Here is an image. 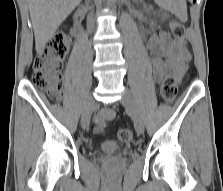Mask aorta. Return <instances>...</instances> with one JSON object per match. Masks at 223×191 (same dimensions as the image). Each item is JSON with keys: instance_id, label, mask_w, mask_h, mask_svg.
Segmentation results:
<instances>
[{"instance_id": "obj_1", "label": "aorta", "mask_w": 223, "mask_h": 191, "mask_svg": "<svg viewBox=\"0 0 223 191\" xmlns=\"http://www.w3.org/2000/svg\"><path fill=\"white\" fill-rule=\"evenodd\" d=\"M108 2H109L110 4H113V3L116 2V0H108Z\"/></svg>"}]
</instances>
